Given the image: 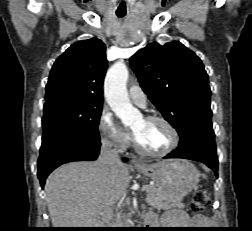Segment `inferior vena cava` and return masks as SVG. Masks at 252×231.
<instances>
[{
	"instance_id": "inferior-vena-cava-1",
	"label": "inferior vena cava",
	"mask_w": 252,
	"mask_h": 231,
	"mask_svg": "<svg viewBox=\"0 0 252 231\" xmlns=\"http://www.w3.org/2000/svg\"><path fill=\"white\" fill-rule=\"evenodd\" d=\"M98 161L109 172H114L116 168L122 165L117 150L112 148V143L107 139L102 140Z\"/></svg>"
}]
</instances>
